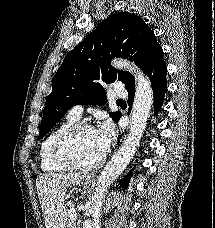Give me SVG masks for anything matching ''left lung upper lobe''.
Listing matches in <instances>:
<instances>
[{"label": "left lung upper lobe", "mask_w": 215, "mask_h": 228, "mask_svg": "<svg viewBox=\"0 0 215 228\" xmlns=\"http://www.w3.org/2000/svg\"><path fill=\"white\" fill-rule=\"evenodd\" d=\"M161 50L155 34L137 15L120 12L110 15L77 47L68 52L53 77L52 92L46 98L40 126V138L74 105H104L106 94L101 82L116 79L128 90L134 77L126 71L114 69L110 61L115 57L134 61L145 73ZM120 112L110 113L117 122Z\"/></svg>", "instance_id": "1"}]
</instances>
